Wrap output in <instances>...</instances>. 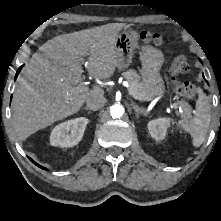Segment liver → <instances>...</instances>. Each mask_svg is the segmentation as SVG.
Returning <instances> with one entry per match:
<instances>
[{
    "label": "liver",
    "mask_w": 221,
    "mask_h": 221,
    "mask_svg": "<svg viewBox=\"0 0 221 221\" xmlns=\"http://www.w3.org/2000/svg\"><path fill=\"white\" fill-rule=\"evenodd\" d=\"M123 23L59 35L33 54L18 82L13 99V126L19 140L78 112L92 96L104 95L102 86L78 92L83 84L82 57L97 79H109L116 67L115 40Z\"/></svg>",
    "instance_id": "1"
}]
</instances>
